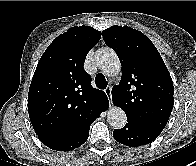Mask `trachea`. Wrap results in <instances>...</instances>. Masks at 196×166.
<instances>
[{"instance_id":"trachea-1","label":"trachea","mask_w":196,"mask_h":166,"mask_svg":"<svg viewBox=\"0 0 196 166\" xmlns=\"http://www.w3.org/2000/svg\"><path fill=\"white\" fill-rule=\"evenodd\" d=\"M96 86L100 89H105L107 87V81L102 74H97L95 77Z\"/></svg>"}]
</instances>
